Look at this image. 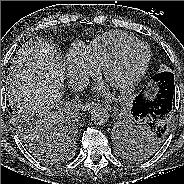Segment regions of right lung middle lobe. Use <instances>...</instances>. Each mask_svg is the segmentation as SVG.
<instances>
[{
    "mask_svg": "<svg viewBox=\"0 0 184 184\" xmlns=\"http://www.w3.org/2000/svg\"><path fill=\"white\" fill-rule=\"evenodd\" d=\"M14 118L19 134L30 151L42 161L53 159L43 151L41 144L52 128L54 118H49L50 121H35L31 112L21 107L14 111Z\"/></svg>",
    "mask_w": 184,
    "mask_h": 184,
    "instance_id": "obj_1",
    "label": "right lung middle lobe"
}]
</instances>
